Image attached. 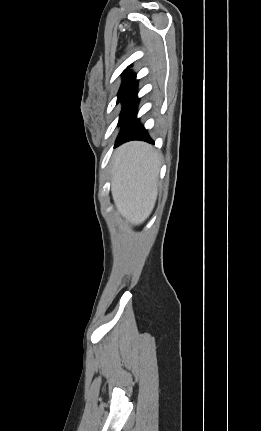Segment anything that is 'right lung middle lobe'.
Returning a JSON list of instances; mask_svg holds the SVG:
<instances>
[{"label": "right lung middle lobe", "mask_w": 261, "mask_h": 431, "mask_svg": "<svg viewBox=\"0 0 261 431\" xmlns=\"http://www.w3.org/2000/svg\"><path fill=\"white\" fill-rule=\"evenodd\" d=\"M136 76L135 75H126L124 78V81L121 85V88L118 93V100L119 102L129 91L133 83L135 82Z\"/></svg>", "instance_id": "dd1d6c3e"}]
</instances>
